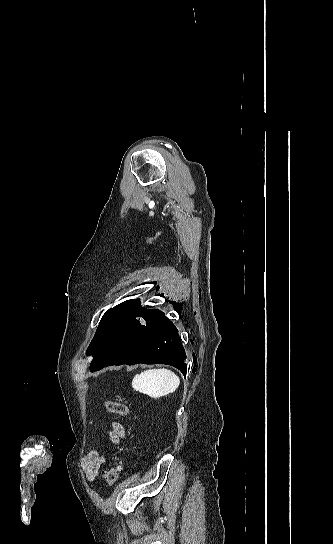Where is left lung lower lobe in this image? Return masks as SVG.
Masks as SVG:
<instances>
[{
	"mask_svg": "<svg viewBox=\"0 0 333 544\" xmlns=\"http://www.w3.org/2000/svg\"><path fill=\"white\" fill-rule=\"evenodd\" d=\"M103 353V361L92 372L111 365L143 363L172 365L186 374L187 356L178 329L166 316L150 327L137 324L123 349L111 348Z\"/></svg>",
	"mask_w": 333,
	"mask_h": 544,
	"instance_id": "left-lung-lower-lobe-1",
	"label": "left lung lower lobe"
}]
</instances>
